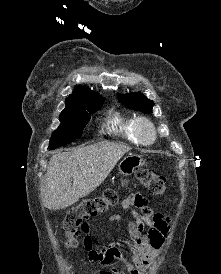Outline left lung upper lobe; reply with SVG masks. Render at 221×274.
Segmentation results:
<instances>
[{"instance_id":"1","label":"left lung upper lobe","mask_w":221,"mask_h":274,"mask_svg":"<svg viewBox=\"0 0 221 274\" xmlns=\"http://www.w3.org/2000/svg\"><path fill=\"white\" fill-rule=\"evenodd\" d=\"M120 102L124 104L127 108L140 110L144 113H151L153 107V101L149 100L140 92L130 93L125 95H117Z\"/></svg>"}]
</instances>
